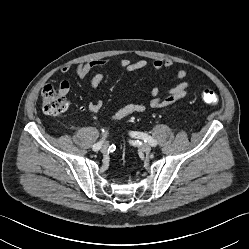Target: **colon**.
<instances>
[{
    "label": "colon",
    "mask_w": 249,
    "mask_h": 249,
    "mask_svg": "<svg viewBox=\"0 0 249 249\" xmlns=\"http://www.w3.org/2000/svg\"><path fill=\"white\" fill-rule=\"evenodd\" d=\"M42 109L48 115H59L64 113L68 108V102L63 94L57 91L53 86L46 85L41 92ZM202 100L216 106L219 102L218 95L211 89H204L201 93Z\"/></svg>",
    "instance_id": "1"
}]
</instances>
